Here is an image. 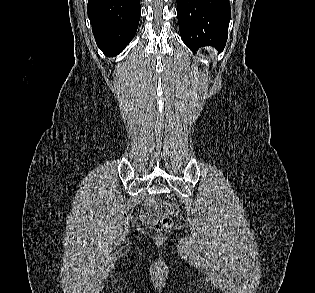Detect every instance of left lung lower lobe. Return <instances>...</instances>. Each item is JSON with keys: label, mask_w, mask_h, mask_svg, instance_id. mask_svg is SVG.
<instances>
[{"label": "left lung lower lobe", "mask_w": 315, "mask_h": 293, "mask_svg": "<svg viewBox=\"0 0 315 293\" xmlns=\"http://www.w3.org/2000/svg\"><path fill=\"white\" fill-rule=\"evenodd\" d=\"M180 35L191 49L213 46L222 51L230 20L229 0H177Z\"/></svg>", "instance_id": "obj_1"}]
</instances>
